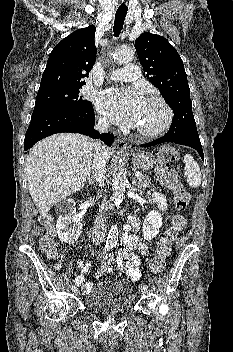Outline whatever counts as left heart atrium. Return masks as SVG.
Returning a JSON list of instances; mask_svg holds the SVG:
<instances>
[{
    "instance_id": "obj_1",
    "label": "left heart atrium",
    "mask_w": 233,
    "mask_h": 352,
    "mask_svg": "<svg viewBox=\"0 0 233 352\" xmlns=\"http://www.w3.org/2000/svg\"><path fill=\"white\" fill-rule=\"evenodd\" d=\"M142 104L143 99L135 89H108L97 98L100 111L125 127L136 126Z\"/></svg>"
}]
</instances>
